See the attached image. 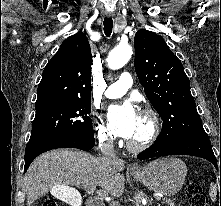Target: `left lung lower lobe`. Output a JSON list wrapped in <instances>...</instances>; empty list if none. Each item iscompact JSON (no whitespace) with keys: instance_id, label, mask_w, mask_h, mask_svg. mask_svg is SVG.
Masks as SVG:
<instances>
[{"instance_id":"1","label":"left lung lower lobe","mask_w":221,"mask_h":206,"mask_svg":"<svg viewBox=\"0 0 221 206\" xmlns=\"http://www.w3.org/2000/svg\"><path fill=\"white\" fill-rule=\"evenodd\" d=\"M167 155H192L209 160L217 168V159L209 139L185 138L173 141L155 142L137 155L138 159H149ZM221 172V157H220Z\"/></svg>"}]
</instances>
